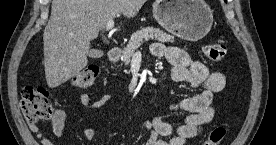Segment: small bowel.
<instances>
[{
    "mask_svg": "<svg viewBox=\"0 0 276 145\" xmlns=\"http://www.w3.org/2000/svg\"><path fill=\"white\" fill-rule=\"evenodd\" d=\"M155 57H164L171 64L170 76L176 83H187L192 88H201V92L178 100L171 109L187 113L186 121L178 127H173L161 117H156L146 123L150 136L145 145H185L191 138L198 135L204 125L214 116L213 96L225 85V77L220 72H211L199 61L192 60L182 49L168 47L156 42L151 47ZM81 104L86 109H98L111 101V96L104 95L92 100L87 94L79 96ZM66 115L56 111L51 121V128L56 137H61L65 130ZM30 130L39 139L41 145H52L49 138L36 125ZM82 135L87 140L97 136V130L86 128Z\"/></svg>",
    "mask_w": 276,
    "mask_h": 145,
    "instance_id": "c3829d8e",
    "label": "small bowel"
}]
</instances>
